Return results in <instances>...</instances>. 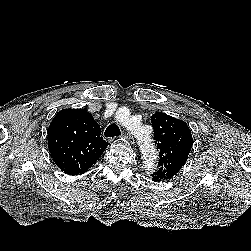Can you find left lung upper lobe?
I'll use <instances>...</instances> for the list:
<instances>
[{"mask_svg":"<svg viewBox=\"0 0 251 251\" xmlns=\"http://www.w3.org/2000/svg\"><path fill=\"white\" fill-rule=\"evenodd\" d=\"M151 123L160 156L158 169L152 177L159 182L169 180L188 159L193 142L191 131L184 121L162 112L152 115Z\"/></svg>","mask_w":251,"mask_h":251,"instance_id":"1","label":"left lung upper lobe"}]
</instances>
